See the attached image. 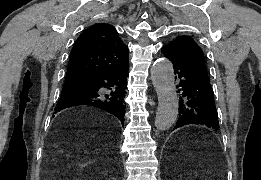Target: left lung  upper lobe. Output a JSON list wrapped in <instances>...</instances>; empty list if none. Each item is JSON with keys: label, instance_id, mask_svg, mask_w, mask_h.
Returning <instances> with one entry per match:
<instances>
[{"label": "left lung upper lobe", "instance_id": "obj_1", "mask_svg": "<svg viewBox=\"0 0 261 180\" xmlns=\"http://www.w3.org/2000/svg\"><path fill=\"white\" fill-rule=\"evenodd\" d=\"M167 46L173 47L181 57L207 72L203 53L191 37L178 36Z\"/></svg>", "mask_w": 261, "mask_h": 180}]
</instances>
